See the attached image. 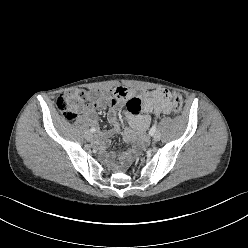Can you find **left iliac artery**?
Here are the masks:
<instances>
[{"label":"left iliac artery","mask_w":248,"mask_h":248,"mask_svg":"<svg viewBox=\"0 0 248 248\" xmlns=\"http://www.w3.org/2000/svg\"><path fill=\"white\" fill-rule=\"evenodd\" d=\"M157 129V122L152 126V128L149 131V134L152 136L156 132Z\"/></svg>","instance_id":"obj_1"}]
</instances>
